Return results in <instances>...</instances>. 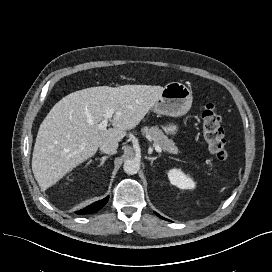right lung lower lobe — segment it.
Wrapping results in <instances>:
<instances>
[{"label": "right lung lower lobe", "instance_id": "1", "mask_svg": "<svg viewBox=\"0 0 272 272\" xmlns=\"http://www.w3.org/2000/svg\"><path fill=\"white\" fill-rule=\"evenodd\" d=\"M109 197L107 196L106 198L100 200V201H97L89 206H87L86 208L80 210V211H77L76 214L78 215H84V214H91V213H94L98 210H100L108 201Z\"/></svg>", "mask_w": 272, "mask_h": 272}]
</instances>
